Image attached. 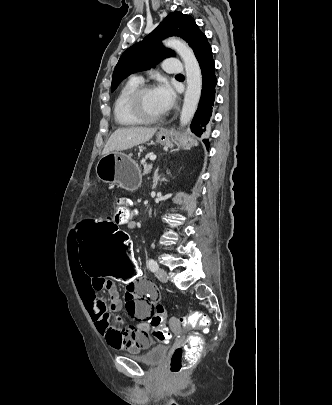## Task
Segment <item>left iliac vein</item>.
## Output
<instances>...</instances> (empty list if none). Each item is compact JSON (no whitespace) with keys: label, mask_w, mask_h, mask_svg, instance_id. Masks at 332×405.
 Returning a JSON list of instances; mask_svg holds the SVG:
<instances>
[{"label":"left iliac vein","mask_w":332,"mask_h":405,"mask_svg":"<svg viewBox=\"0 0 332 405\" xmlns=\"http://www.w3.org/2000/svg\"><path fill=\"white\" fill-rule=\"evenodd\" d=\"M156 277L158 278L159 281L164 282V283L167 282V280H168L167 272L162 268H159L156 271Z\"/></svg>","instance_id":"1"}]
</instances>
